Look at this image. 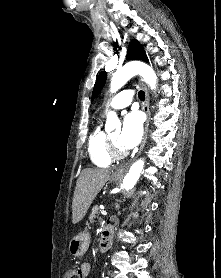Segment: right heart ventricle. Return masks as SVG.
I'll use <instances>...</instances> for the list:
<instances>
[{"label": "right heart ventricle", "instance_id": "1", "mask_svg": "<svg viewBox=\"0 0 221 278\" xmlns=\"http://www.w3.org/2000/svg\"><path fill=\"white\" fill-rule=\"evenodd\" d=\"M107 134L101 124H97L88 138V152L92 163L98 167H108L111 163L106 150Z\"/></svg>", "mask_w": 221, "mask_h": 278}]
</instances>
